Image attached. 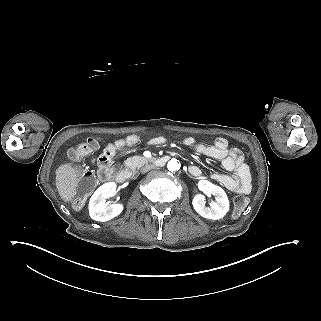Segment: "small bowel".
Masks as SVG:
<instances>
[{
    "label": "small bowel",
    "instance_id": "c3829d8e",
    "mask_svg": "<svg viewBox=\"0 0 321 321\" xmlns=\"http://www.w3.org/2000/svg\"><path fill=\"white\" fill-rule=\"evenodd\" d=\"M137 135H130L123 139L107 143L102 154L98 159V173L100 176L108 177L112 174L111 162L113 157L128 147L139 142ZM166 139L163 136H157L149 140L150 145H161ZM183 143L192 147L200 154L209 158L218 160L224 170L232 173L231 175L213 172L211 178L222 184L228 190L246 194L251 190V173L249 166L244 162L242 152L237 148H230L228 142L224 138H217L212 145L196 143L192 137H186ZM189 173L198 177L201 170L197 166H190Z\"/></svg>",
    "mask_w": 321,
    "mask_h": 321
}]
</instances>
